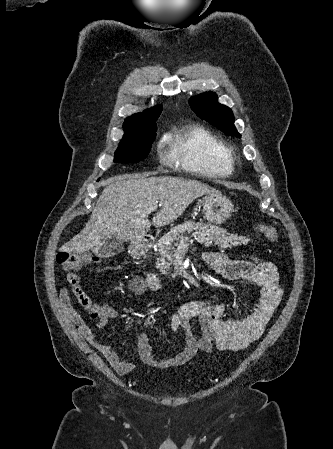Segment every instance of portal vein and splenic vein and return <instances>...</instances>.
<instances>
[{
	"instance_id": "obj_1",
	"label": "portal vein and splenic vein",
	"mask_w": 333,
	"mask_h": 449,
	"mask_svg": "<svg viewBox=\"0 0 333 449\" xmlns=\"http://www.w3.org/2000/svg\"><path fill=\"white\" fill-rule=\"evenodd\" d=\"M157 207H158V205H157V204H154V205H152V206L149 207V211H150V212H151V211H154V210L157 209Z\"/></svg>"
}]
</instances>
